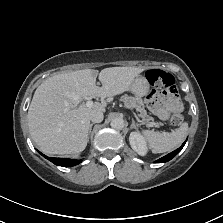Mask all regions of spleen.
<instances>
[{"label":"spleen","mask_w":223,"mask_h":223,"mask_svg":"<svg viewBox=\"0 0 223 223\" xmlns=\"http://www.w3.org/2000/svg\"><path fill=\"white\" fill-rule=\"evenodd\" d=\"M188 130V123H183L180 128L171 133L143 131L153 153H164L174 150L185 139Z\"/></svg>","instance_id":"1"}]
</instances>
